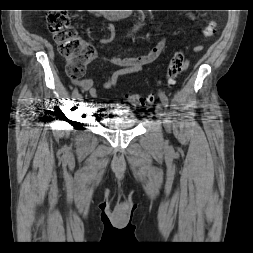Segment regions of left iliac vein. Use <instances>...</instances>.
<instances>
[{"mask_svg":"<svg viewBox=\"0 0 253 253\" xmlns=\"http://www.w3.org/2000/svg\"><path fill=\"white\" fill-rule=\"evenodd\" d=\"M155 109H156L157 115L160 116V115H161V110H162L161 104L158 103V104L156 105Z\"/></svg>","mask_w":253,"mask_h":253,"instance_id":"1","label":"left iliac vein"}]
</instances>
